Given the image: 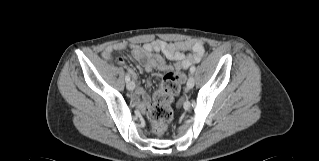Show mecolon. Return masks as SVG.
Listing matches in <instances>:
<instances>
[{
	"label": "colon",
	"instance_id": "5ec220e1",
	"mask_svg": "<svg viewBox=\"0 0 319 161\" xmlns=\"http://www.w3.org/2000/svg\"><path fill=\"white\" fill-rule=\"evenodd\" d=\"M180 80L179 69L174 68L168 71L163 77L161 86L155 91L152 103L147 108L156 134H160L165 124L172 119V103L179 91Z\"/></svg>",
	"mask_w": 319,
	"mask_h": 161
}]
</instances>
